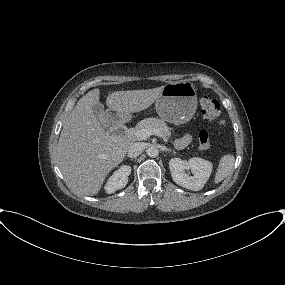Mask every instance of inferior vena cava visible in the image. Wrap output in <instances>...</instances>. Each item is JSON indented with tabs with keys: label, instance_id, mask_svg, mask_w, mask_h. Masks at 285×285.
Segmentation results:
<instances>
[{
	"label": "inferior vena cava",
	"instance_id": "1",
	"mask_svg": "<svg viewBox=\"0 0 285 285\" xmlns=\"http://www.w3.org/2000/svg\"><path fill=\"white\" fill-rule=\"evenodd\" d=\"M144 150V145L142 143H133L128 149V157L135 158L139 156Z\"/></svg>",
	"mask_w": 285,
	"mask_h": 285
}]
</instances>
